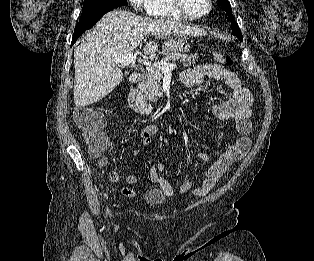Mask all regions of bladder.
<instances>
[{
    "label": "bladder",
    "instance_id": "31cf9c89",
    "mask_svg": "<svg viewBox=\"0 0 314 261\" xmlns=\"http://www.w3.org/2000/svg\"><path fill=\"white\" fill-rule=\"evenodd\" d=\"M142 199L152 206H162L165 203V198L154 190L143 194Z\"/></svg>",
    "mask_w": 314,
    "mask_h": 261
}]
</instances>
